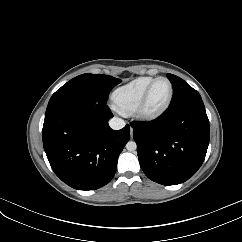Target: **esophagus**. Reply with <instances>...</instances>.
Wrapping results in <instances>:
<instances>
[{
	"instance_id": "1",
	"label": "esophagus",
	"mask_w": 242,
	"mask_h": 242,
	"mask_svg": "<svg viewBox=\"0 0 242 242\" xmlns=\"http://www.w3.org/2000/svg\"><path fill=\"white\" fill-rule=\"evenodd\" d=\"M130 136L131 137L133 136V130L132 129L130 130Z\"/></svg>"
}]
</instances>
